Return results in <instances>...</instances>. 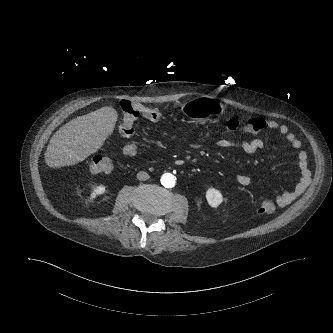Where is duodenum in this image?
<instances>
[{"mask_svg":"<svg viewBox=\"0 0 333 333\" xmlns=\"http://www.w3.org/2000/svg\"><path fill=\"white\" fill-rule=\"evenodd\" d=\"M173 163L175 165H183L184 162L182 160H180V159H176V160H173Z\"/></svg>","mask_w":333,"mask_h":333,"instance_id":"duodenum-1","label":"duodenum"}]
</instances>
